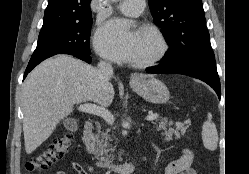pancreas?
<instances>
[{"instance_id": "cf45deb5", "label": "pancreas", "mask_w": 249, "mask_h": 174, "mask_svg": "<svg viewBox=\"0 0 249 174\" xmlns=\"http://www.w3.org/2000/svg\"><path fill=\"white\" fill-rule=\"evenodd\" d=\"M153 124L156 125L157 131L164 130L163 135L168 140H171L173 135H175L176 139H179L181 136H184L188 128V126H185L183 123H175V128L169 127L173 123L168 118H161L156 120ZM110 141L111 136L109 130L105 132L99 131L95 135L91 151L99 160L98 165L100 167L109 166L114 160V156L111 152H113L115 148L111 146Z\"/></svg>"}]
</instances>
